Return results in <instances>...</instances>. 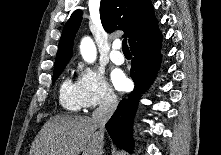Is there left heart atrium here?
Returning <instances> with one entry per match:
<instances>
[{"label":"left heart atrium","mask_w":221,"mask_h":155,"mask_svg":"<svg viewBox=\"0 0 221 155\" xmlns=\"http://www.w3.org/2000/svg\"><path fill=\"white\" fill-rule=\"evenodd\" d=\"M111 79L113 85L120 91L125 90L128 86V80L126 76L119 70H116L112 73Z\"/></svg>","instance_id":"1"}]
</instances>
